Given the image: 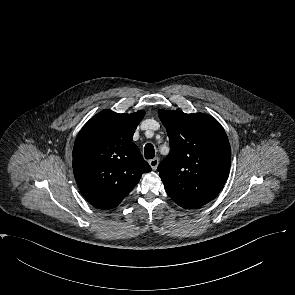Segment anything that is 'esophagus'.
I'll return each mask as SVG.
<instances>
[{
    "mask_svg": "<svg viewBox=\"0 0 295 295\" xmlns=\"http://www.w3.org/2000/svg\"><path fill=\"white\" fill-rule=\"evenodd\" d=\"M159 164V158H154L149 161V165L151 166L152 170H156Z\"/></svg>",
    "mask_w": 295,
    "mask_h": 295,
    "instance_id": "esophagus-1",
    "label": "esophagus"
}]
</instances>
